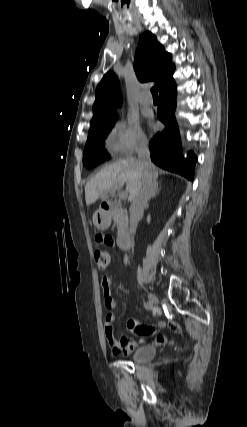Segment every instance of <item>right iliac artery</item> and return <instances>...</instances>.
I'll return each mask as SVG.
<instances>
[{"instance_id":"obj_1","label":"right iliac artery","mask_w":247,"mask_h":427,"mask_svg":"<svg viewBox=\"0 0 247 427\" xmlns=\"http://www.w3.org/2000/svg\"><path fill=\"white\" fill-rule=\"evenodd\" d=\"M145 307H146V309H150L152 307V304L151 303H146Z\"/></svg>"}]
</instances>
